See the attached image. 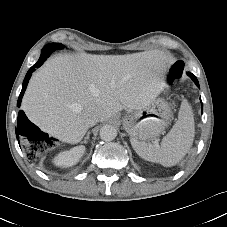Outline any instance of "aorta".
<instances>
[{"label":"aorta","mask_w":227,"mask_h":227,"mask_svg":"<svg viewBox=\"0 0 227 227\" xmlns=\"http://www.w3.org/2000/svg\"><path fill=\"white\" fill-rule=\"evenodd\" d=\"M100 138L104 141H112L117 136V129L112 125H104L100 129Z\"/></svg>","instance_id":"1"}]
</instances>
